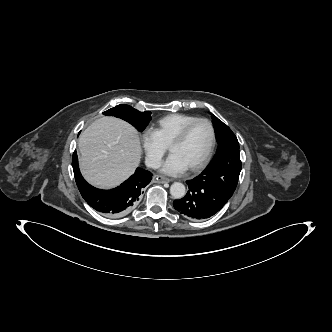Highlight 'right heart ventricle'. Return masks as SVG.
<instances>
[{
	"instance_id": "right-heart-ventricle-1",
	"label": "right heart ventricle",
	"mask_w": 332,
	"mask_h": 332,
	"mask_svg": "<svg viewBox=\"0 0 332 332\" xmlns=\"http://www.w3.org/2000/svg\"><path fill=\"white\" fill-rule=\"evenodd\" d=\"M196 118L187 114H168L158 119L151 130L164 146H169L182 127Z\"/></svg>"
}]
</instances>
